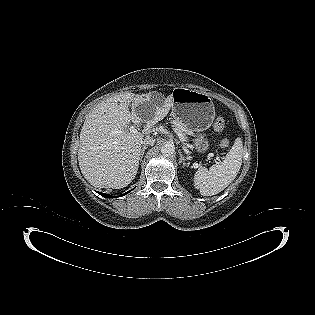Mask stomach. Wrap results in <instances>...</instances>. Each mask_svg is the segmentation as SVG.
<instances>
[{"label": "stomach", "instance_id": "obj_1", "mask_svg": "<svg viewBox=\"0 0 315 315\" xmlns=\"http://www.w3.org/2000/svg\"><path fill=\"white\" fill-rule=\"evenodd\" d=\"M171 96L172 116L194 133V149L198 153L207 152L210 142L204 131L212 125L215 118L211 97L204 92L182 87L174 88Z\"/></svg>", "mask_w": 315, "mask_h": 315}]
</instances>
